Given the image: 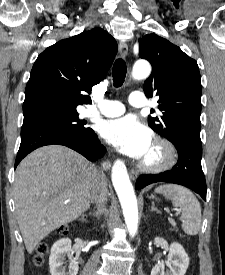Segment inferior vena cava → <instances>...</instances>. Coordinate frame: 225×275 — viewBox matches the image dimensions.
<instances>
[{"label": "inferior vena cava", "instance_id": "inferior-vena-cava-1", "mask_svg": "<svg viewBox=\"0 0 225 275\" xmlns=\"http://www.w3.org/2000/svg\"><path fill=\"white\" fill-rule=\"evenodd\" d=\"M109 167V163L102 164V168L97 171L95 179L93 181L91 198L98 211L102 214L105 210V202L107 201V182L104 174V170Z\"/></svg>", "mask_w": 225, "mask_h": 275}]
</instances>
